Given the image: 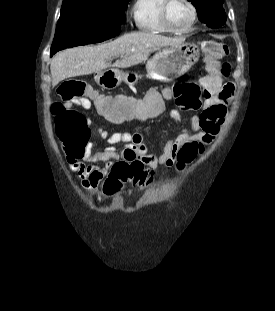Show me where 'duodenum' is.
I'll list each match as a JSON object with an SVG mask.
<instances>
[{"label":"duodenum","mask_w":275,"mask_h":311,"mask_svg":"<svg viewBox=\"0 0 275 311\" xmlns=\"http://www.w3.org/2000/svg\"><path fill=\"white\" fill-rule=\"evenodd\" d=\"M96 74H97V75H100V74H101V71H100V70H97V71H96ZM96 79H99V76H96Z\"/></svg>","instance_id":"1"}]
</instances>
